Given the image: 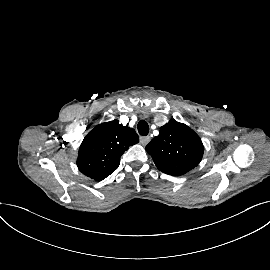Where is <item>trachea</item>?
<instances>
[{"label":"trachea","instance_id":"3493384b","mask_svg":"<svg viewBox=\"0 0 270 270\" xmlns=\"http://www.w3.org/2000/svg\"><path fill=\"white\" fill-rule=\"evenodd\" d=\"M137 129L140 135L146 136L149 132V125L146 121L141 120L138 122Z\"/></svg>","mask_w":270,"mask_h":270}]
</instances>
